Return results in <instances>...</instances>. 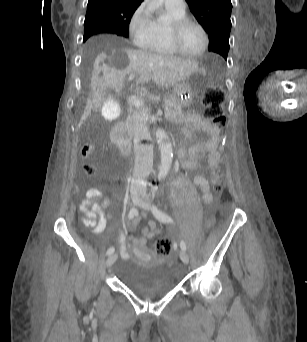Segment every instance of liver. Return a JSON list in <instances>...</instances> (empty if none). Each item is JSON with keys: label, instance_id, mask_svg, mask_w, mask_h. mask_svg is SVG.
Listing matches in <instances>:
<instances>
[{"label": "liver", "instance_id": "1", "mask_svg": "<svg viewBox=\"0 0 307 342\" xmlns=\"http://www.w3.org/2000/svg\"><path fill=\"white\" fill-rule=\"evenodd\" d=\"M103 49V54L94 62L90 84L92 96L87 100L80 126L92 110L97 112L101 108V98L106 88H113L116 94L122 92L128 74H139L135 86L137 90H144L139 88L140 84H146L150 80L165 88L178 86L182 80L199 70V64L194 60L175 58L168 54H150L145 50H131L130 44H119L118 50H111V44H104ZM99 74L103 76L100 78Z\"/></svg>", "mask_w": 307, "mask_h": 342}]
</instances>
